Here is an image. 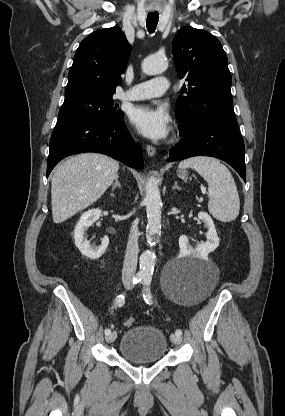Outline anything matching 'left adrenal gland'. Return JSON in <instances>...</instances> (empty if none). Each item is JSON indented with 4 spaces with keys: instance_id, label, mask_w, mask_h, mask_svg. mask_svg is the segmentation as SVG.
Segmentation results:
<instances>
[{
    "instance_id": "obj_1",
    "label": "left adrenal gland",
    "mask_w": 285,
    "mask_h": 416,
    "mask_svg": "<svg viewBox=\"0 0 285 416\" xmlns=\"http://www.w3.org/2000/svg\"><path fill=\"white\" fill-rule=\"evenodd\" d=\"M172 190H181L180 186H177V182H174V186H172Z\"/></svg>"
}]
</instances>
